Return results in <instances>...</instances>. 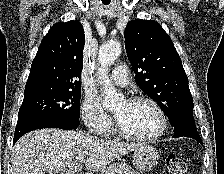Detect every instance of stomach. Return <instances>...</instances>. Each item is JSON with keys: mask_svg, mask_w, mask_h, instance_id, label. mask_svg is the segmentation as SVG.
<instances>
[{"mask_svg": "<svg viewBox=\"0 0 224 174\" xmlns=\"http://www.w3.org/2000/svg\"><path fill=\"white\" fill-rule=\"evenodd\" d=\"M133 165L139 171H149L154 168L159 160V154L155 147L141 144L133 153Z\"/></svg>", "mask_w": 224, "mask_h": 174, "instance_id": "obj_1", "label": "stomach"}]
</instances>
